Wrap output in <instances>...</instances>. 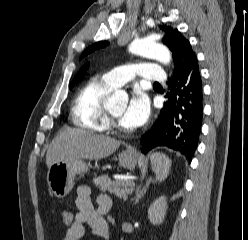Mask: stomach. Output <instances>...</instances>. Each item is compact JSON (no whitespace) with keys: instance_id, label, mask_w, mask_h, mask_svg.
I'll list each match as a JSON object with an SVG mask.
<instances>
[{"instance_id":"stomach-1","label":"stomach","mask_w":248,"mask_h":240,"mask_svg":"<svg viewBox=\"0 0 248 240\" xmlns=\"http://www.w3.org/2000/svg\"><path fill=\"white\" fill-rule=\"evenodd\" d=\"M142 159L132 150H126L119 154V164L127 169H134L137 162ZM87 164L81 159L68 162H57L51 165L47 173V183L52 193L57 198H63L69 194L74 186L76 175H82L89 169Z\"/></svg>"}]
</instances>
